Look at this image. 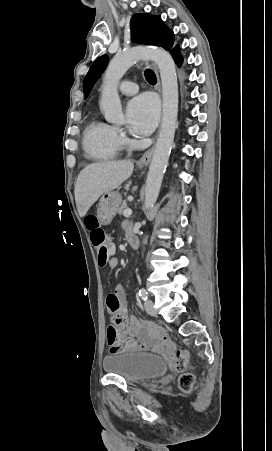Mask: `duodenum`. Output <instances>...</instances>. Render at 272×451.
<instances>
[{"label": "duodenum", "instance_id": "410a0bca", "mask_svg": "<svg viewBox=\"0 0 272 451\" xmlns=\"http://www.w3.org/2000/svg\"><path fill=\"white\" fill-rule=\"evenodd\" d=\"M128 243L132 249H138L139 247V241L134 235L128 238Z\"/></svg>", "mask_w": 272, "mask_h": 451}]
</instances>
